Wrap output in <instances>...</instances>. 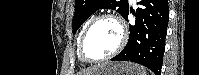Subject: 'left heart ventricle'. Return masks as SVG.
<instances>
[{"label": "left heart ventricle", "instance_id": "1", "mask_svg": "<svg viewBox=\"0 0 199 75\" xmlns=\"http://www.w3.org/2000/svg\"><path fill=\"white\" fill-rule=\"evenodd\" d=\"M120 31L110 20L97 22L89 31L84 42V53L92 59L101 58L112 52L118 45Z\"/></svg>", "mask_w": 199, "mask_h": 75}]
</instances>
